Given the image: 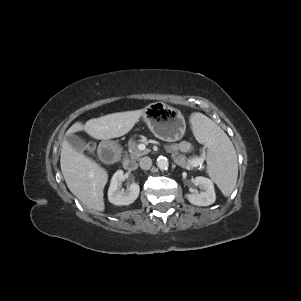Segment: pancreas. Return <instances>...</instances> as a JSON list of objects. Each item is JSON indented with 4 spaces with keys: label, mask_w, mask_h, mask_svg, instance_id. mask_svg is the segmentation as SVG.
Here are the masks:
<instances>
[{
    "label": "pancreas",
    "mask_w": 301,
    "mask_h": 301,
    "mask_svg": "<svg viewBox=\"0 0 301 301\" xmlns=\"http://www.w3.org/2000/svg\"><path fill=\"white\" fill-rule=\"evenodd\" d=\"M128 147H129V155H130L131 159H134V160L139 159L141 156L149 153V150L141 151L138 148V142L135 140H132V139L129 140ZM172 157H173L174 162L177 165H179L185 169H191L192 167H194V162L199 159V157H196V156L186 158L185 155H180L177 153H174L172 155Z\"/></svg>",
    "instance_id": "1"
}]
</instances>
